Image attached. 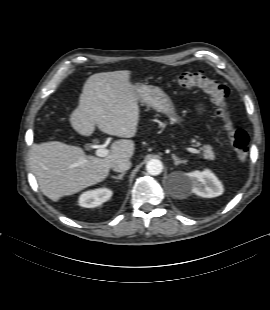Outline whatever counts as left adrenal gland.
I'll return each mask as SVG.
<instances>
[{
  "mask_svg": "<svg viewBox=\"0 0 270 310\" xmlns=\"http://www.w3.org/2000/svg\"><path fill=\"white\" fill-rule=\"evenodd\" d=\"M172 159L174 160V164L175 165H179L181 163H186L187 162L186 160H181L175 154H172Z\"/></svg>",
  "mask_w": 270,
  "mask_h": 310,
  "instance_id": "obj_1",
  "label": "left adrenal gland"
}]
</instances>
